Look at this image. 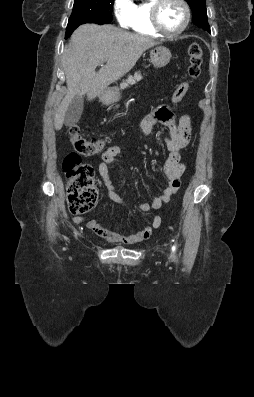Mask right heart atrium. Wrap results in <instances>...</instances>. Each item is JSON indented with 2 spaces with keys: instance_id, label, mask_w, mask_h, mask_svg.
Masks as SVG:
<instances>
[{
  "instance_id": "right-heart-atrium-1",
  "label": "right heart atrium",
  "mask_w": 254,
  "mask_h": 397,
  "mask_svg": "<svg viewBox=\"0 0 254 397\" xmlns=\"http://www.w3.org/2000/svg\"><path fill=\"white\" fill-rule=\"evenodd\" d=\"M133 10L132 0H114L113 11L118 24L123 27H129Z\"/></svg>"
}]
</instances>
